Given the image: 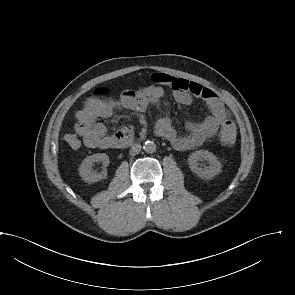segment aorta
Segmentation results:
<instances>
[{"instance_id":"1","label":"aorta","mask_w":295,"mask_h":295,"mask_svg":"<svg viewBox=\"0 0 295 295\" xmlns=\"http://www.w3.org/2000/svg\"><path fill=\"white\" fill-rule=\"evenodd\" d=\"M143 148L146 153H154L156 151V144L152 141H146Z\"/></svg>"}]
</instances>
